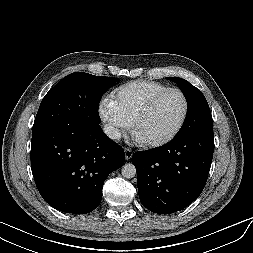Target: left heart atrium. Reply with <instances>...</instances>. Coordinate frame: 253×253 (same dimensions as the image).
<instances>
[{
  "mask_svg": "<svg viewBox=\"0 0 253 253\" xmlns=\"http://www.w3.org/2000/svg\"><path fill=\"white\" fill-rule=\"evenodd\" d=\"M133 139L138 144H144L145 143V140L142 137H140L137 133L134 134Z\"/></svg>",
  "mask_w": 253,
  "mask_h": 253,
  "instance_id": "39dd6f15",
  "label": "left heart atrium"
}]
</instances>
